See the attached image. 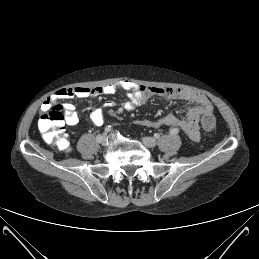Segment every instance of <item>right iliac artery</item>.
Here are the masks:
<instances>
[{
  "instance_id": "right-iliac-artery-1",
  "label": "right iliac artery",
  "mask_w": 259,
  "mask_h": 259,
  "mask_svg": "<svg viewBox=\"0 0 259 259\" xmlns=\"http://www.w3.org/2000/svg\"><path fill=\"white\" fill-rule=\"evenodd\" d=\"M94 139L98 142L101 139V135L100 134H96L94 136Z\"/></svg>"
}]
</instances>
